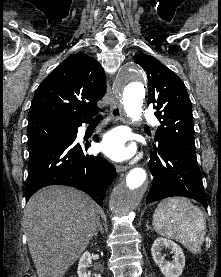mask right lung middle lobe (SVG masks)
Listing matches in <instances>:
<instances>
[{
  "label": "right lung middle lobe",
  "mask_w": 221,
  "mask_h": 277,
  "mask_svg": "<svg viewBox=\"0 0 221 277\" xmlns=\"http://www.w3.org/2000/svg\"><path fill=\"white\" fill-rule=\"evenodd\" d=\"M67 127L63 122L48 121L28 125V150L33 151L42 145L62 136Z\"/></svg>",
  "instance_id": "obj_1"
}]
</instances>
